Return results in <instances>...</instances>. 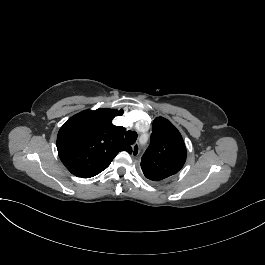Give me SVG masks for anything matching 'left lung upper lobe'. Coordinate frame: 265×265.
Returning a JSON list of instances; mask_svg holds the SVG:
<instances>
[{
  "label": "left lung upper lobe",
  "instance_id": "obj_1",
  "mask_svg": "<svg viewBox=\"0 0 265 265\" xmlns=\"http://www.w3.org/2000/svg\"><path fill=\"white\" fill-rule=\"evenodd\" d=\"M186 155L185 143L176 127L163 117L155 118L151 142L141 161L145 177L155 182L167 179L183 167Z\"/></svg>",
  "mask_w": 265,
  "mask_h": 265
}]
</instances>
